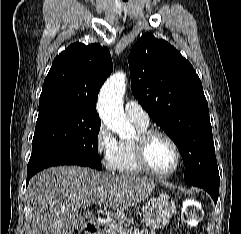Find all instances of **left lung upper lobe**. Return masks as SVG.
Wrapping results in <instances>:
<instances>
[{
	"label": "left lung upper lobe",
	"mask_w": 241,
	"mask_h": 234,
	"mask_svg": "<svg viewBox=\"0 0 241 234\" xmlns=\"http://www.w3.org/2000/svg\"><path fill=\"white\" fill-rule=\"evenodd\" d=\"M131 89L150 117L177 145L185 182L219 183V171L202 83L173 46L144 34L129 54Z\"/></svg>",
	"instance_id": "obj_1"
}]
</instances>
